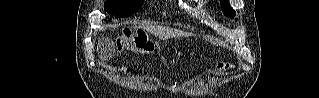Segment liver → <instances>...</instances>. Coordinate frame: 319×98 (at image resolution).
Wrapping results in <instances>:
<instances>
[{
	"label": "liver",
	"mask_w": 319,
	"mask_h": 98,
	"mask_svg": "<svg viewBox=\"0 0 319 98\" xmlns=\"http://www.w3.org/2000/svg\"><path fill=\"white\" fill-rule=\"evenodd\" d=\"M144 29L148 30L152 34L156 35L161 40H166L173 37H188L189 33L161 27V26H143ZM103 51V50H102ZM101 52V50H100ZM102 57V56H101Z\"/></svg>",
	"instance_id": "1"
}]
</instances>
